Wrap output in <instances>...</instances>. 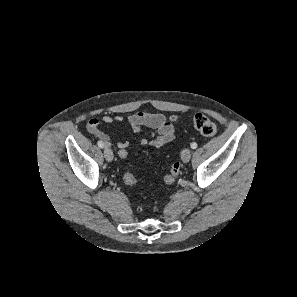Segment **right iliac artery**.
Here are the masks:
<instances>
[{
	"label": "right iliac artery",
	"mask_w": 297,
	"mask_h": 297,
	"mask_svg": "<svg viewBox=\"0 0 297 297\" xmlns=\"http://www.w3.org/2000/svg\"><path fill=\"white\" fill-rule=\"evenodd\" d=\"M98 146L100 147V148H103L104 147V143L102 142V141H98Z\"/></svg>",
	"instance_id": "82829eb1"
}]
</instances>
